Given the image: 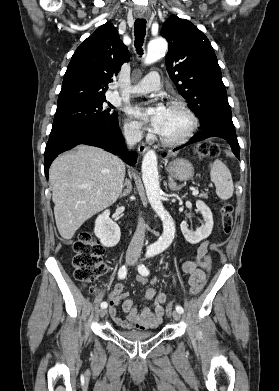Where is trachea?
<instances>
[{
	"mask_svg": "<svg viewBox=\"0 0 279 391\" xmlns=\"http://www.w3.org/2000/svg\"><path fill=\"white\" fill-rule=\"evenodd\" d=\"M135 48L139 55L143 54L142 45L146 35V20L137 19L134 23Z\"/></svg>",
	"mask_w": 279,
	"mask_h": 391,
	"instance_id": "trachea-1",
	"label": "trachea"
}]
</instances>
